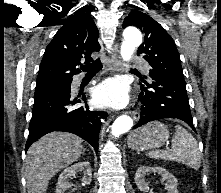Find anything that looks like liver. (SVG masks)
Segmentation results:
<instances>
[{
  "label": "liver",
  "mask_w": 221,
  "mask_h": 193,
  "mask_svg": "<svg viewBox=\"0 0 221 193\" xmlns=\"http://www.w3.org/2000/svg\"><path fill=\"white\" fill-rule=\"evenodd\" d=\"M81 143L79 137L67 132H51L34 142L25 160L28 193H46L51 178L78 160Z\"/></svg>",
  "instance_id": "obj_1"
}]
</instances>
